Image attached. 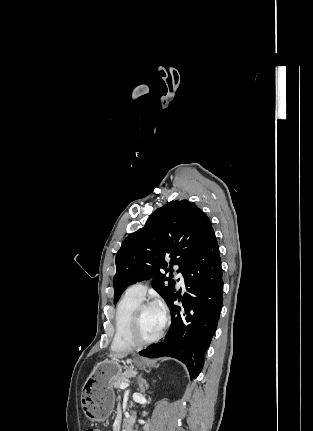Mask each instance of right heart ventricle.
Masks as SVG:
<instances>
[{"mask_svg":"<svg viewBox=\"0 0 313 431\" xmlns=\"http://www.w3.org/2000/svg\"><path fill=\"white\" fill-rule=\"evenodd\" d=\"M142 299L125 293L115 309L114 336L111 348L114 352H129L134 349V345L128 337L129 326L134 309L140 304Z\"/></svg>","mask_w":313,"mask_h":431,"instance_id":"right-heart-ventricle-1","label":"right heart ventricle"}]
</instances>
